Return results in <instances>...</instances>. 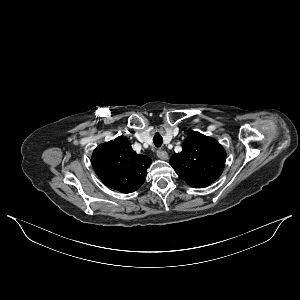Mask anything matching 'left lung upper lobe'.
<instances>
[{
    "mask_svg": "<svg viewBox=\"0 0 300 300\" xmlns=\"http://www.w3.org/2000/svg\"><path fill=\"white\" fill-rule=\"evenodd\" d=\"M226 152L214 139L190 131L182 144V152L174 154L169 163L190 186L201 188L221 175Z\"/></svg>",
    "mask_w": 300,
    "mask_h": 300,
    "instance_id": "1",
    "label": "left lung upper lobe"
}]
</instances>
